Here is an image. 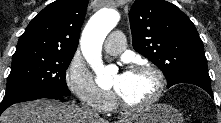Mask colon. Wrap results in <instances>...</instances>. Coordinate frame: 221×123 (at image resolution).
<instances>
[{
	"instance_id": "1",
	"label": "colon",
	"mask_w": 221,
	"mask_h": 123,
	"mask_svg": "<svg viewBox=\"0 0 221 123\" xmlns=\"http://www.w3.org/2000/svg\"><path fill=\"white\" fill-rule=\"evenodd\" d=\"M192 123H203V122L199 119H195V120L192 121Z\"/></svg>"
}]
</instances>
